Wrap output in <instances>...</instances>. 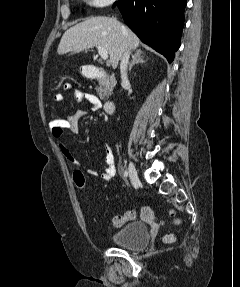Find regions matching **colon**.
Segmentation results:
<instances>
[{
  "mask_svg": "<svg viewBox=\"0 0 240 287\" xmlns=\"http://www.w3.org/2000/svg\"><path fill=\"white\" fill-rule=\"evenodd\" d=\"M67 118L58 116L53 118L49 122V127L53 136L61 137L67 130ZM73 180L78 189H84L86 187V179L82 171L76 170L73 173ZM135 218V211L128 210L124 215L115 216L110 220V223L114 227H121L126 222L131 221ZM165 243H172L174 241V236L169 234L164 237Z\"/></svg>",
  "mask_w": 240,
  "mask_h": 287,
  "instance_id": "obj_1",
  "label": "colon"
}]
</instances>
